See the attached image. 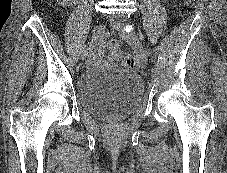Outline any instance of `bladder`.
Returning a JSON list of instances; mask_svg holds the SVG:
<instances>
[{
    "mask_svg": "<svg viewBox=\"0 0 227 173\" xmlns=\"http://www.w3.org/2000/svg\"><path fill=\"white\" fill-rule=\"evenodd\" d=\"M144 92L141 76L120 64L86 70L76 85L77 101L86 113L108 120L122 119L141 103Z\"/></svg>",
    "mask_w": 227,
    "mask_h": 173,
    "instance_id": "obj_1",
    "label": "bladder"
}]
</instances>
